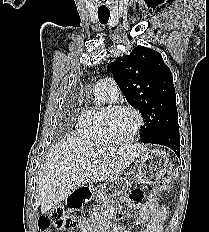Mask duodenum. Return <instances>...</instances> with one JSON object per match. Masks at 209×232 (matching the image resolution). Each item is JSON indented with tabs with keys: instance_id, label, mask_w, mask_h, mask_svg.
<instances>
[{
	"instance_id": "obj_1",
	"label": "duodenum",
	"mask_w": 209,
	"mask_h": 232,
	"mask_svg": "<svg viewBox=\"0 0 209 232\" xmlns=\"http://www.w3.org/2000/svg\"><path fill=\"white\" fill-rule=\"evenodd\" d=\"M90 189L87 186H78L69 197L71 207L77 208L84 205L90 198Z\"/></svg>"
}]
</instances>
